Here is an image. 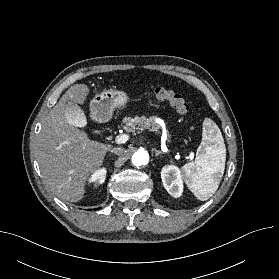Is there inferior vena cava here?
I'll use <instances>...</instances> for the list:
<instances>
[{
  "label": "inferior vena cava",
  "instance_id": "1",
  "mask_svg": "<svg viewBox=\"0 0 279 279\" xmlns=\"http://www.w3.org/2000/svg\"><path fill=\"white\" fill-rule=\"evenodd\" d=\"M110 151L116 155H122L124 153V149L121 147L112 148Z\"/></svg>",
  "mask_w": 279,
  "mask_h": 279
}]
</instances>
